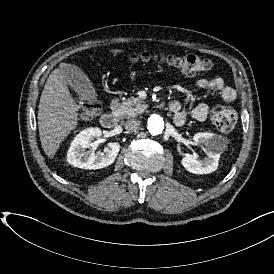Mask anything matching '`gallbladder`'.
<instances>
[{"label": "gallbladder", "instance_id": "bac80fb5", "mask_svg": "<svg viewBox=\"0 0 274 274\" xmlns=\"http://www.w3.org/2000/svg\"><path fill=\"white\" fill-rule=\"evenodd\" d=\"M63 76L68 87L80 94L86 102L93 101L97 96V91L93 87L88 76L74 65L67 66L63 71Z\"/></svg>", "mask_w": 274, "mask_h": 274}]
</instances>
